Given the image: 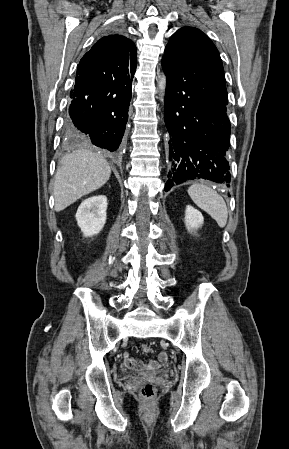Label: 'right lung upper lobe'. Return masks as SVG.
Segmentation results:
<instances>
[{
    "mask_svg": "<svg viewBox=\"0 0 289 449\" xmlns=\"http://www.w3.org/2000/svg\"><path fill=\"white\" fill-rule=\"evenodd\" d=\"M135 44L122 35L104 36L81 58L76 79L107 80L136 70Z\"/></svg>",
    "mask_w": 289,
    "mask_h": 449,
    "instance_id": "cb5924a9",
    "label": "right lung upper lobe"
}]
</instances>
